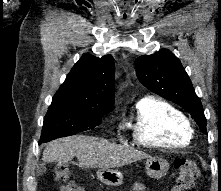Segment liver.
<instances>
[{"label": "liver", "mask_w": 221, "mask_h": 191, "mask_svg": "<svg viewBox=\"0 0 221 191\" xmlns=\"http://www.w3.org/2000/svg\"><path fill=\"white\" fill-rule=\"evenodd\" d=\"M74 157L78 158L79 167L102 169L122 167L150 156L106 139L77 135L49 142L43 151L42 160L67 163Z\"/></svg>", "instance_id": "6515ba94"}]
</instances>
